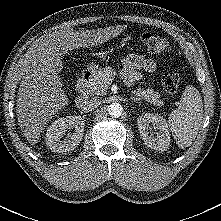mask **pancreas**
<instances>
[{
	"mask_svg": "<svg viewBox=\"0 0 221 221\" xmlns=\"http://www.w3.org/2000/svg\"><path fill=\"white\" fill-rule=\"evenodd\" d=\"M116 74L112 67L101 68L95 71L92 75L91 81L87 85V91L92 95H104L110 85L112 77ZM131 93L139 99L161 107L163 101L160 99V94L152 88L133 89Z\"/></svg>",
	"mask_w": 221,
	"mask_h": 221,
	"instance_id": "1",
	"label": "pancreas"
}]
</instances>
